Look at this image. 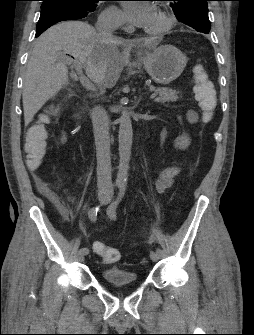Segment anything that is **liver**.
Here are the masks:
<instances>
[{"instance_id":"obj_1","label":"liver","mask_w":254,"mask_h":335,"mask_svg":"<svg viewBox=\"0 0 254 335\" xmlns=\"http://www.w3.org/2000/svg\"><path fill=\"white\" fill-rule=\"evenodd\" d=\"M135 43L101 36L92 26L80 21L50 27L37 39L27 65L22 93L25 124L68 84L67 55L78 59L89 79L105 90L116 85L129 60V55L120 53L118 46ZM144 46L151 49L152 40L145 39Z\"/></svg>"}]
</instances>
